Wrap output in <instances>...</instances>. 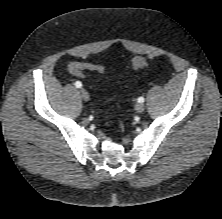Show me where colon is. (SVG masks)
I'll list each match as a JSON object with an SVG mask.
<instances>
[{
    "label": "colon",
    "mask_w": 222,
    "mask_h": 219,
    "mask_svg": "<svg viewBox=\"0 0 222 219\" xmlns=\"http://www.w3.org/2000/svg\"><path fill=\"white\" fill-rule=\"evenodd\" d=\"M146 59L142 56H136L131 61V67L133 70H139L143 68L146 65ZM93 70L97 73L104 74L105 68L102 65L95 64L93 67Z\"/></svg>",
    "instance_id": "obj_1"
}]
</instances>
